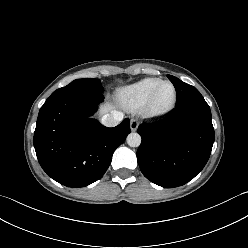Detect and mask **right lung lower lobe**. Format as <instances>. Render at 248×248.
Instances as JSON below:
<instances>
[{
  "label": "right lung lower lobe",
  "instance_id": "obj_1",
  "mask_svg": "<svg viewBox=\"0 0 248 248\" xmlns=\"http://www.w3.org/2000/svg\"><path fill=\"white\" fill-rule=\"evenodd\" d=\"M102 100V94L58 92L39 111L36 155L47 175L62 185L78 188L100 179L131 132L128 118L113 128L90 118Z\"/></svg>",
  "mask_w": 248,
  "mask_h": 248
}]
</instances>
